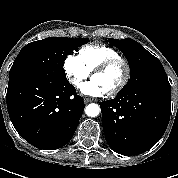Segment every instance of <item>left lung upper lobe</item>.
I'll return each mask as SVG.
<instances>
[{
  "label": "left lung upper lobe",
  "instance_id": "5c2ea615",
  "mask_svg": "<svg viewBox=\"0 0 178 178\" xmlns=\"http://www.w3.org/2000/svg\"><path fill=\"white\" fill-rule=\"evenodd\" d=\"M109 43L117 47L127 58L131 76L124 90L142 85L170 86L161 62L138 42L126 38H109Z\"/></svg>",
  "mask_w": 178,
  "mask_h": 178
}]
</instances>
